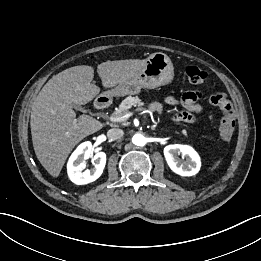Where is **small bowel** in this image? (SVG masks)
<instances>
[{
	"instance_id": "1",
	"label": "small bowel",
	"mask_w": 261,
	"mask_h": 261,
	"mask_svg": "<svg viewBox=\"0 0 261 261\" xmlns=\"http://www.w3.org/2000/svg\"><path fill=\"white\" fill-rule=\"evenodd\" d=\"M200 97L201 95L198 92L185 93L181 100V104L184 109L176 114V119L190 123L194 122L196 119V114L200 113L202 110L201 106L198 104ZM151 108L156 111L160 110V106L158 104H153Z\"/></svg>"
}]
</instances>
